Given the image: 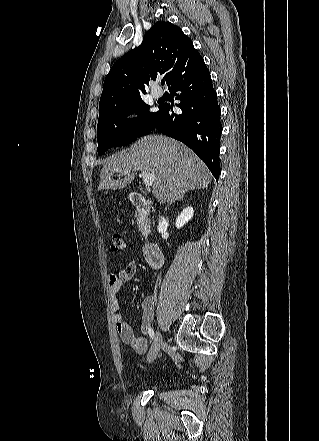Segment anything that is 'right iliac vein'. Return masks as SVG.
Returning a JSON list of instances; mask_svg holds the SVG:
<instances>
[{
    "instance_id": "obj_1",
    "label": "right iliac vein",
    "mask_w": 319,
    "mask_h": 441,
    "mask_svg": "<svg viewBox=\"0 0 319 441\" xmlns=\"http://www.w3.org/2000/svg\"><path fill=\"white\" fill-rule=\"evenodd\" d=\"M162 345H163V338H162L161 333L158 331L156 333L155 338H154L151 349L147 355V361L149 363L152 362L157 357Z\"/></svg>"
}]
</instances>
